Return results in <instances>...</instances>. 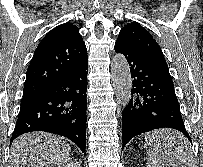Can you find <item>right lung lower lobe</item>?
<instances>
[{
	"label": "right lung lower lobe",
	"instance_id": "right-lung-lower-lobe-1",
	"mask_svg": "<svg viewBox=\"0 0 203 167\" xmlns=\"http://www.w3.org/2000/svg\"><path fill=\"white\" fill-rule=\"evenodd\" d=\"M88 58L43 93L23 97L11 141L32 131L65 136L85 153Z\"/></svg>",
	"mask_w": 203,
	"mask_h": 167
}]
</instances>
